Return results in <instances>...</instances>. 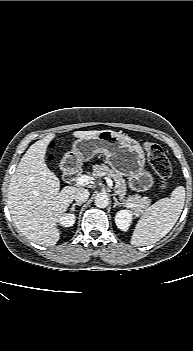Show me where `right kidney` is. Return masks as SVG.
I'll use <instances>...</instances> for the list:
<instances>
[{
	"instance_id": "right-kidney-1",
	"label": "right kidney",
	"mask_w": 193,
	"mask_h": 351,
	"mask_svg": "<svg viewBox=\"0 0 193 351\" xmlns=\"http://www.w3.org/2000/svg\"><path fill=\"white\" fill-rule=\"evenodd\" d=\"M58 222L64 227H71L75 223V215L65 214L59 218Z\"/></svg>"
}]
</instances>
